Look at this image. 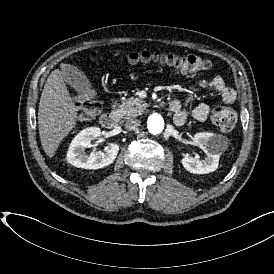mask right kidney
I'll return each mask as SVG.
<instances>
[{"label":"right kidney","mask_w":274,"mask_h":274,"mask_svg":"<svg viewBox=\"0 0 274 274\" xmlns=\"http://www.w3.org/2000/svg\"><path fill=\"white\" fill-rule=\"evenodd\" d=\"M101 135L102 131L98 127H89L77 134L67 152L68 163L74 167L89 170L101 169L114 163L120 151L118 143H108L103 153L86 151L91 147L92 141Z\"/></svg>","instance_id":"ca27d5eb"}]
</instances>
